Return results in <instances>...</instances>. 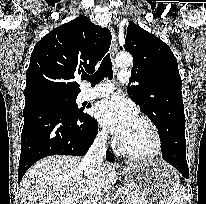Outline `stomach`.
I'll return each mask as SVG.
<instances>
[{"mask_svg":"<svg viewBox=\"0 0 206 204\" xmlns=\"http://www.w3.org/2000/svg\"><path fill=\"white\" fill-rule=\"evenodd\" d=\"M128 186L146 201L165 200L179 185L175 169L163 161L136 162L121 169Z\"/></svg>","mask_w":206,"mask_h":204,"instance_id":"stomach-1","label":"stomach"}]
</instances>
